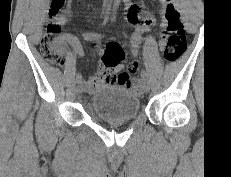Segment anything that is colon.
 I'll return each instance as SVG.
<instances>
[{
    "label": "colon",
    "instance_id": "obj_1",
    "mask_svg": "<svg viewBox=\"0 0 231 177\" xmlns=\"http://www.w3.org/2000/svg\"><path fill=\"white\" fill-rule=\"evenodd\" d=\"M166 8L164 12L165 29L161 35L164 41V58L166 63L178 60L186 50V35L179 12L176 10L170 0H164ZM59 0H53L51 5V16L58 12ZM41 52L45 60L55 66H63L66 63L67 55L64 49V42L61 35V26L57 21H51L47 24L41 39ZM125 53L117 43L106 45L102 60L106 66L118 65L124 59ZM137 65L130 69L134 72ZM117 81V76L112 78ZM127 88L139 91L138 86L131 84L128 80L125 82Z\"/></svg>",
    "mask_w": 231,
    "mask_h": 177
}]
</instances>
